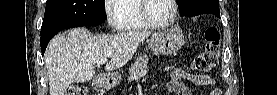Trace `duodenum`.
<instances>
[{
    "mask_svg": "<svg viewBox=\"0 0 277 95\" xmlns=\"http://www.w3.org/2000/svg\"><path fill=\"white\" fill-rule=\"evenodd\" d=\"M105 77L99 76L98 77V86L103 87L104 86Z\"/></svg>",
    "mask_w": 277,
    "mask_h": 95,
    "instance_id": "obj_1",
    "label": "duodenum"
}]
</instances>
